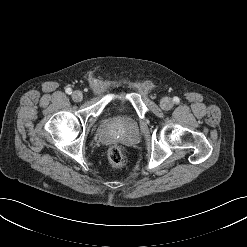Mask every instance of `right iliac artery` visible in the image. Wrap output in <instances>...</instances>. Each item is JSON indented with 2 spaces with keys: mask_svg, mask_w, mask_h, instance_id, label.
Masks as SVG:
<instances>
[{
  "mask_svg": "<svg viewBox=\"0 0 247 247\" xmlns=\"http://www.w3.org/2000/svg\"><path fill=\"white\" fill-rule=\"evenodd\" d=\"M65 91H66L67 94H71L72 93L71 88H67Z\"/></svg>",
  "mask_w": 247,
  "mask_h": 247,
  "instance_id": "right-iliac-artery-1",
  "label": "right iliac artery"
}]
</instances>
